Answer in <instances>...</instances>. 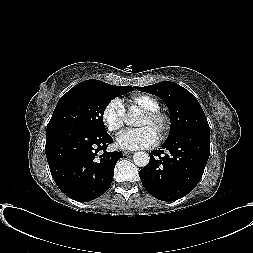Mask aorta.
Masks as SVG:
<instances>
[{
    "label": "aorta",
    "instance_id": "obj_1",
    "mask_svg": "<svg viewBox=\"0 0 253 253\" xmlns=\"http://www.w3.org/2000/svg\"><path fill=\"white\" fill-rule=\"evenodd\" d=\"M134 117L130 116L128 119H127V123L128 124H134ZM149 160H150V157H149V154L146 153V152H136L134 155H133V161L134 163L139 166V167H145L148 165L149 163Z\"/></svg>",
    "mask_w": 253,
    "mask_h": 253
}]
</instances>
